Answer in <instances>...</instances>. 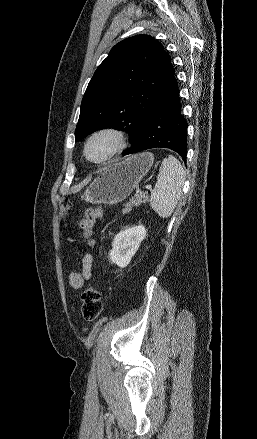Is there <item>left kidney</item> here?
Segmentation results:
<instances>
[{
  "mask_svg": "<svg viewBox=\"0 0 257 439\" xmlns=\"http://www.w3.org/2000/svg\"><path fill=\"white\" fill-rule=\"evenodd\" d=\"M144 226H136L119 232L113 239L109 258L112 263L125 268L146 237Z\"/></svg>",
  "mask_w": 257,
  "mask_h": 439,
  "instance_id": "obj_1",
  "label": "left kidney"
}]
</instances>
